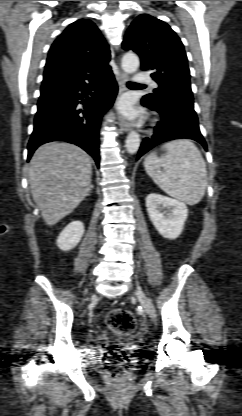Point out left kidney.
Segmentation results:
<instances>
[{
  "instance_id": "obj_1",
  "label": "left kidney",
  "mask_w": 242,
  "mask_h": 416,
  "mask_svg": "<svg viewBox=\"0 0 242 416\" xmlns=\"http://www.w3.org/2000/svg\"><path fill=\"white\" fill-rule=\"evenodd\" d=\"M146 207L154 227L164 238L172 240L180 236L188 217L183 202L151 193L146 198Z\"/></svg>"
}]
</instances>
